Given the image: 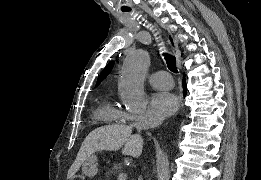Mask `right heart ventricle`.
<instances>
[{"mask_svg": "<svg viewBox=\"0 0 261 180\" xmlns=\"http://www.w3.org/2000/svg\"><path fill=\"white\" fill-rule=\"evenodd\" d=\"M145 118L149 119L150 115L145 114ZM92 121H107V126L94 127H110V122H120V111L114 105L112 98H106L97 103Z\"/></svg>", "mask_w": 261, "mask_h": 180, "instance_id": "e07e8e85", "label": "right heart ventricle"}]
</instances>
